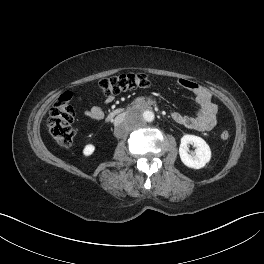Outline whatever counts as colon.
Listing matches in <instances>:
<instances>
[{"label": "colon", "mask_w": 264, "mask_h": 264, "mask_svg": "<svg viewBox=\"0 0 264 264\" xmlns=\"http://www.w3.org/2000/svg\"><path fill=\"white\" fill-rule=\"evenodd\" d=\"M151 85L152 81L147 75L129 73L103 79L99 82L98 88L105 96H114L127 90L148 88ZM74 118L73 93L65 92L51 109L48 119L49 133L61 146L69 147L73 143L75 137ZM220 136L223 140H227L230 136L229 131L222 130Z\"/></svg>", "instance_id": "5ec220e1"}]
</instances>
